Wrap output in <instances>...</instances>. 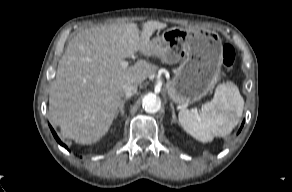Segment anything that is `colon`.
<instances>
[{
    "mask_svg": "<svg viewBox=\"0 0 292 192\" xmlns=\"http://www.w3.org/2000/svg\"><path fill=\"white\" fill-rule=\"evenodd\" d=\"M235 61V51L230 45L222 48V62L226 69H231Z\"/></svg>",
    "mask_w": 292,
    "mask_h": 192,
    "instance_id": "obj_1",
    "label": "colon"
}]
</instances>
